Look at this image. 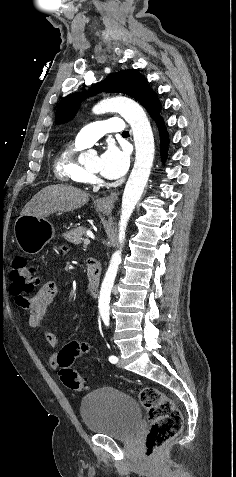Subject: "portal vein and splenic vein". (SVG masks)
Here are the masks:
<instances>
[{
    "label": "portal vein and splenic vein",
    "instance_id": "obj_1",
    "mask_svg": "<svg viewBox=\"0 0 236 477\" xmlns=\"http://www.w3.org/2000/svg\"><path fill=\"white\" fill-rule=\"evenodd\" d=\"M90 244V240L88 238L84 239V245Z\"/></svg>",
    "mask_w": 236,
    "mask_h": 477
}]
</instances>
